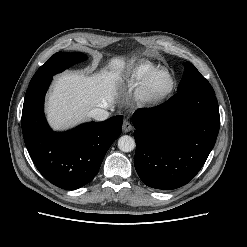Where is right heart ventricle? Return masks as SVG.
Here are the masks:
<instances>
[{"label": "right heart ventricle", "instance_id": "1", "mask_svg": "<svg viewBox=\"0 0 247 247\" xmlns=\"http://www.w3.org/2000/svg\"><path fill=\"white\" fill-rule=\"evenodd\" d=\"M156 67L150 61H139L126 72L125 81L130 86H136L147 72Z\"/></svg>", "mask_w": 247, "mask_h": 247}]
</instances>
